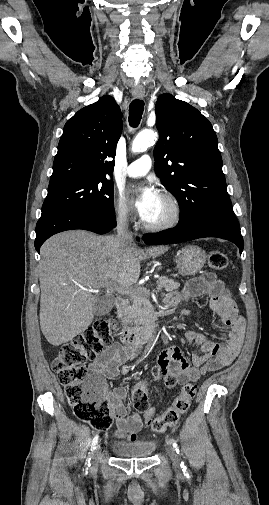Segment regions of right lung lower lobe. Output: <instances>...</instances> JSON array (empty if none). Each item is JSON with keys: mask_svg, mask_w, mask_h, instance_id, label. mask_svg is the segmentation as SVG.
<instances>
[{"mask_svg": "<svg viewBox=\"0 0 269 505\" xmlns=\"http://www.w3.org/2000/svg\"><path fill=\"white\" fill-rule=\"evenodd\" d=\"M116 226L95 218L82 211L70 208H56L44 211L36 225L35 248L40 252L41 245L50 236L72 229H84L98 234H107Z\"/></svg>", "mask_w": 269, "mask_h": 505, "instance_id": "right-lung-lower-lobe-1", "label": "right lung lower lobe"}]
</instances>
